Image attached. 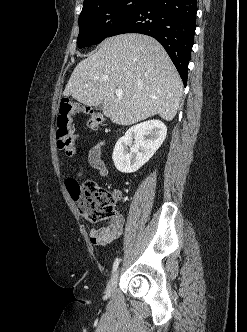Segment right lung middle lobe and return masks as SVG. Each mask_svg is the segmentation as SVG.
I'll return each instance as SVG.
<instances>
[{
	"label": "right lung middle lobe",
	"instance_id": "obj_1",
	"mask_svg": "<svg viewBox=\"0 0 247 332\" xmlns=\"http://www.w3.org/2000/svg\"><path fill=\"white\" fill-rule=\"evenodd\" d=\"M147 0H101L82 9L79 16V48L98 44L108 37L114 26Z\"/></svg>",
	"mask_w": 247,
	"mask_h": 332
}]
</instances>
